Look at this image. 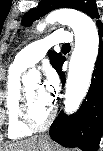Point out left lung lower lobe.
Wrapping results in <instances>:
<instances>
[{"mask_svg":"<svg viewBox=\"0 0 103 151\" xmlns=\"http://www.w3.org/2000/svg\"><path fill=\"white\" fill-rule=\"evenodd\" d=\"M99 54L91 85L80 109L66 117L63 111L50 127V137L65 147H79L84 151H97L103 132V27L99 25ZM57 71L65 84V74Z\"/></svg>","mask_w":103,"mask_h":151,"instance_id":"1","label":"left lung lower lobe"}]
</instances>
